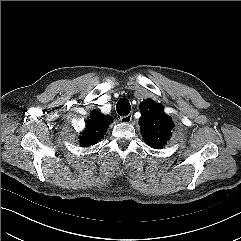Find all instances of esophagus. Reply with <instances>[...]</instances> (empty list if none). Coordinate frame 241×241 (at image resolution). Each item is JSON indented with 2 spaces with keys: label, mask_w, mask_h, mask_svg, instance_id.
<instances>
[{
  "label": "esophagus",
  "mask_w": 241,
  "mask_h": 241,
  "mask_svg": "<svg viewBox=\"0 0 241 241\" xmlns=\"http://www.w3.org/2000/svg\"><path fill=\"white\" fill-rule=\"evenodd\" d=\"M132 120V114H128L126 116L120 117V121L123 123H129Z\"/></svg>",
  "instance_id": "1"
}]
</instances>
